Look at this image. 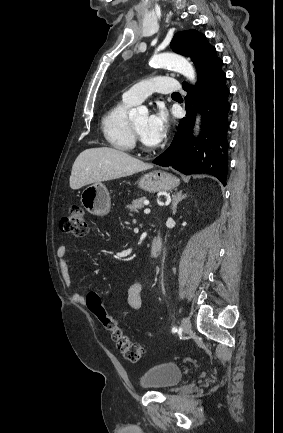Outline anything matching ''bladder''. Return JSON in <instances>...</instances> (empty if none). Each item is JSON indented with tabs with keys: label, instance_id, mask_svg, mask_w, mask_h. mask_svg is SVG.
Masks as SVG:
<instances>
[{
	"label": "bladder",
	"instance_id": "obj_1",
	"mask_svg": "<svg viewBox=\"0 0 283 433\" xmlns=\"http://www.w3.org/2000/svg\"><path fill=\"white\" fill-rule=\"evenodd\" d=\"M182 370L174 363H160L147 370L140 378L146 389L172 388L182 379Z\"/></svg>",
	"mask_w": 283,
	"mask_h": 433
}]
</instances>
